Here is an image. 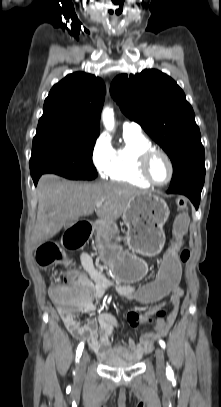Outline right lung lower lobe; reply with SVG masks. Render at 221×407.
<instances>
[{"label":"right lung lower lobe","mask_w":221,"mask_h":407,"mask_svg":"<svg viewBox=\"0 0 221 407\" xmlns=\"http://www.w3.org/2000/svg\"><path fill=\"white\" fill-rule=\"evenodd\" d=\"M39 177V175L32 176L35 185L37 184Z\"/></svg>","instance_id":"1"}]
</instances>
